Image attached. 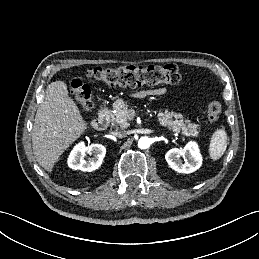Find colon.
<instances>
[{
    "label": "colon",
    "mask_w": 259,
    "mask_h": 259,
    "mask_svg": "<svg viewBox=\"0 0 259 259\" xmlns=\"http://www.w3.org/2000/svg\"><path fill=\"white\" fill-rule=\"evenodd\" d=\"M87 78L109 86L143 87L160 84H177L181 79L179 68L174 64L149 66L92 67L87 71ZM71 93L81 108L89 112L93 109L91 88L79 79L70 82ZM222 105L213 100L206 105V116L211 122L221 115Z\"/></svg>",
    "instance_id": "obj_1"
}]
</instances>
